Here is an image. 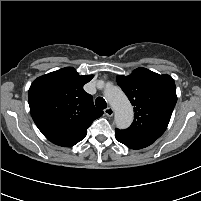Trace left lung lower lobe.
Returning a JSON list of instances; mask_svg holds the SVG:
<instances>
[{
  "instance_id": "0a47b994",
  "label": "left lung lower lobe",
  "mask_w": 201,
  "mask_h": 201,
  "mask_svg": "<svg viewBox=\"0 0 201 201\" xmlns=\"http://www.w3.org/2000/svg\"><path fill=\"white\" fill-rule=\"evenodd\" d=\"M116 139L130 149H142L151 145L156 139L146 136H138L124 133L122 130H115Z\"/></svg>"
}]
</instances>
